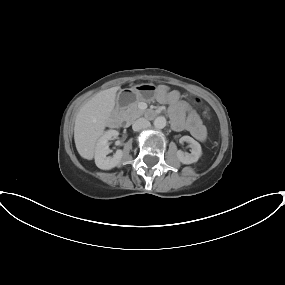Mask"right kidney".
<instances>
[{
    "mask_svg": "<svg viewBox=\"0 0 285 285\" xmlns=\"http://www.w3.org/2000/svg\"><path fill=\"white\" fill-rule=\"evenodd\" d=\"M119 135L117 130L106 131L98 140L95 147V164L98 168L103 170L112 169L122 162L123 151L117 150L113 157H107L110 153L108 141L116 138Z\"/></svg>",
    "mask_w": 285,
    "mask_h": 285,
    "instance_id": "ca27d5eb",
    "label": "right kidney"
}]
</instances>
